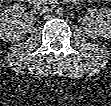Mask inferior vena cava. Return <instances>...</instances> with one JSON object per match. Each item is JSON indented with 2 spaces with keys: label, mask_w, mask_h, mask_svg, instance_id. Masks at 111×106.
I'll return each mask as SVG.
<instances>
[{
  "label": "inferior vena cava",
  "mask_w": 111,
  "mask_h": 106,
  "mask_svg": "<svg viewBox=\"0 0 111 106\" xmlns=\"http://www.w3.org/2000/svg\"><path fill=\"white\" fill-rule=\"evenodd\" d=\"M34 7L40 13H46L47 11H49V7L46 6V2L44 1H38Z\"/></svg>",
  "instance_id": "obj_1"
}]
</instances>
